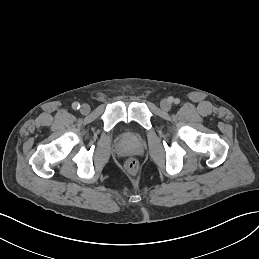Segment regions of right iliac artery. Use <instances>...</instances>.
<instances>
[{
    "label": "right iliac artery",
    "instance_id": "1",
    "mask_svg": "<svg viewBox=\"0 0 259 259\" xmlns=\"http://www.w3.org/2000/svg\"><path fill=\"white\" fill-rule=\"evenodd\" d=\"M72 108L75 109V110H77V109L80 108V104H79L78 102H74V103L72 104Z\"/></svg>",
    "mask_w": 259,
    "mask_h": 259
}]
</instances>
